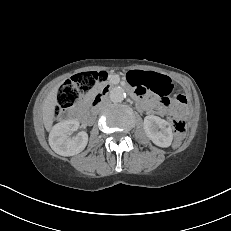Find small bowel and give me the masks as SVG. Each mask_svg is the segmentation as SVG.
I'll use <instances>...</instances> for the list:
<instances>
[{"instance_id": "obj_1", "label": "small bowel", "mask_w": 231, "mask_h": 231, "mask_svg": "<svg viewBox=\"0 0 231 231\" xmlns=\"http://www.w3.org/2000/svg\"><path fill=\"white\" fill-rule=\"evenodd\" d=\"M131 74L140 75L139 81H134L131 78ZM128 82H135L137 86V92L143 93L145 90L149 91L152 95L147 98L146 108L151 112L162 113L169 109L170 100L168 96L172 94L174 90V84L170 77L154 71H141L134 70L128 75ZM185 111V109H181Z\"/></svg>"}]
</instances>
